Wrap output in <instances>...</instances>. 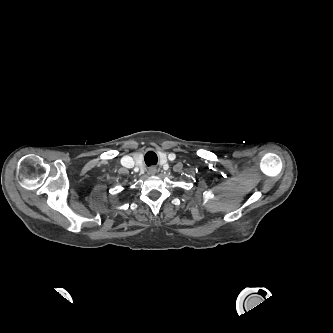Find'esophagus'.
Returning <instances> with one entry per match:
<instances>
[{"label": "esophagus", "mask_w": 333, "mask_h": 333, "mask_svg": "<svg viewBox=\"0 0 333 333\" xmlns=\"http://www.w3.org/2000/svg\"><path fill=\"white\" fill-rule=\"evenodd\" d=\"M156 172H157L156 167H151V168L149 169V173H150L151 175H155Z\"/></svg>", "instance_id": "34e87169"}]
</instances>
